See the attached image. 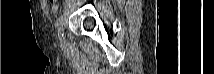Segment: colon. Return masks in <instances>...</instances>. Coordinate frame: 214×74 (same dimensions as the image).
<instances>
[{
    "mask_svg": "<svg viewBox=\"0 0 214 74\" xmlns=\"http://www.w3.org/2000/svg\"><path fill=\"white\" fill-rule=\"evenodd\" d=\"M50 2H52V3H53V2H56V0H50Z\"/></svg>",
    "mask_w": 214,
    "mask_h": 74,
    "instance_id": "1",
    "label": "colon"
}]
</instances>
